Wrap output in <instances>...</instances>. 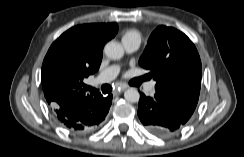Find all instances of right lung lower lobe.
<instances>
[{"label": "right lung lower lobe", "mask_w": 244, "mask_h": 157, "mask_svg": "<svg viewBox=\"0 0 244 157\" xmlns=\"http://www.w3.org/2000/svg\"><path fill=\"white\" fill-rule=\"evenodd\" d=\"M112 103V94L99 95L91 101L76 102L69 110L53 109L59 122L73 132H83L96 128L105 119Z\"/></svg>", "instance_id": "obj_1"}]
</instances>
